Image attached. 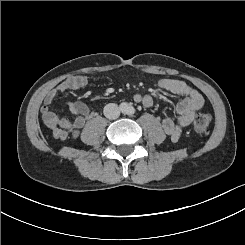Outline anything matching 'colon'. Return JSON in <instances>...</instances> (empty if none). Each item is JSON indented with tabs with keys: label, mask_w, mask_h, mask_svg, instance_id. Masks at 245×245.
I'll return each instance as SVG.
<instances>
[{
	"label": "colon",
	"mask_w": 245,
	"mask_h": 245,
	"mask_svg": "<svg viewBox=\"0 0 245 245\" xmlns=\"http://www.w3.org/2000/svg\"><path fill=\"white\" fill-rule=\"evenodd\" d=\"M212 117L208 113L197 114L193 119V129L198 133H207L211 125Z\"/></svg>",
	"instance_id": "5ec220e1"
}]
</instances>
